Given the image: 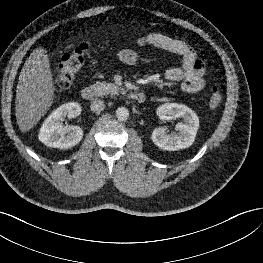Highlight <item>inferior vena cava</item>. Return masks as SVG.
<instances>
[{
  "mask_svg": "<svg viewBox=\"0 0 263 263\" xmlns=\"http://www.w3.org/2000/svg\"><path fill=\"white\" fill-rule=\"evenodd\" d=\"M91 110L95 113H100L104 110L105 104L102 100L97 99L91 102Z\"/></svg>",
  "mask_w": 263,
  "mask_h": 263,
  "instance_id": "inferior-vena-cava-1",
  "label": "inferior vena cava"
}]
</instances>
